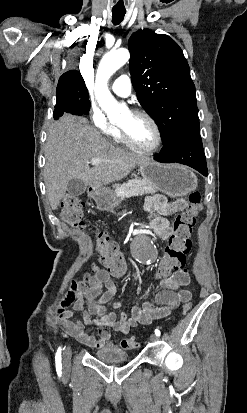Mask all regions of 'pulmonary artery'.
<instances>
[{
	"label": "pulmonary artery",
	"instance_id": "e3ab8cb5",
	"mask_svg": "<svg viewBox=\"0 0 247 413\" xmlns=\"http://www.w3.org/2000/svg\"><path fill=\"white\" fill-rule=\"evenodd\" d=\"M111 90L118 96L127 97L132 92V80L130 75L122 74L110 83Z\"/></svg>",
	"mask_w": 247,
	"mask_h": 413
}]
</instances>
